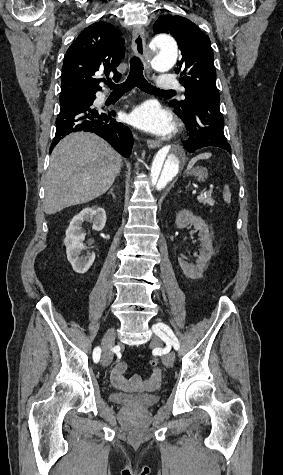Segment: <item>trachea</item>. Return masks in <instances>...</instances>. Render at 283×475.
<instances>
[{
	"label": "trachea",
	"mask_w": 283,
	"mask_h": 475,
	"mask_svg": "<svg viewBox=\"0 0 283 475\" xmlns=\"http://www.w3.org/2000/svg\"><path fill=\"white\" fill-rule=\"evenodd\" d=\"M113 92H129L134 87L140 88L143 92L154 94H172L174 90H159L153 87L143 75V63L137 56L130 60V72L125 82L115 85L111 80L106 83Z\"/></svg>",
	"instance_id": "3493384b"
}]
</instances>
